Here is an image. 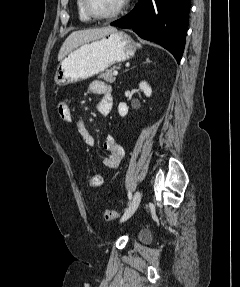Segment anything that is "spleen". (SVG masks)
<instances>
[{"instance_id":"3e777b00","label":"spleen","mask_w":240,"mask_h":287,"mask_svg":"<svg viewBox=\"0 0 240 287\" xmlns=\"http://www.w3.org/2000/svg\"><path fill=\"white\" fill-rule=\"evenodd\" d=\"M138 48H141V45L139 43L136 44Z\"/></svg>"}]
</instances>
